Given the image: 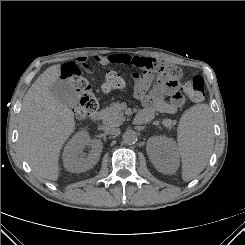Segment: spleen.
I'll use <instances>...</instances> for the list:
<instances>
[{"label":"spleen","instance_id":"1","mask_svg":"<svg viewBox=\"0 0 245 245\" xmlns=\"http://www.w3.org/2000/svg\"><path fill=\"white\" fill-rule=\"evenodd\" d=\"M177 141L182 179L190 181L205 169L213 148L212 113L207 104L194 105L183 113Z\"/></svg>","mask_w":245,"mask_h":245}]
</instances>
